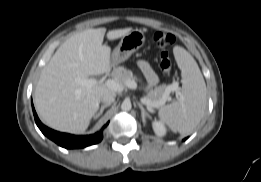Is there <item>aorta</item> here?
<instances>
[{"label": "aorta", "instance_id": "aorta-1", "mask_svg": "<svg viewBox=\"0 0 261 182\" xmlns=\"http://www.w3.org/2000/svg\"><path fill=\"white\" fill-rule=\"evenodd\" d=\"M131 108H132V105H131V102H130V101L125 100V101L122 102V104H121V109H122L123 111H125V112H126V111H130Z\"/></svg>", "mask_w": 261, "mask_h": 182}]
</instances>
